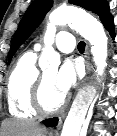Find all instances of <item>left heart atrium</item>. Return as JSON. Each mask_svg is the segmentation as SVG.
Masks as SVG:
<instances>
[{"mask_svg":"<svg viewBox=\"0 0 117 136\" xmlns=\"http://www.w3.org/2000/svg\"><path fill=\"white\" fill-rule=\"evenodd\" d=\"M82 74L81 67L71 59H66L55 77V87L64 96L75 86Z\"/></svg>","mask_w":117,"mask_h":136,"instance_id":"left-heart-atrium-1","label":"left heart atrium"}]
</instances>
